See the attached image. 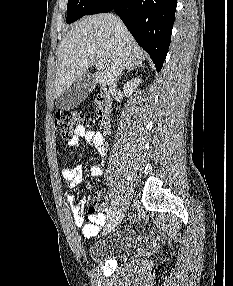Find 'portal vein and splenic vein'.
Listing matches in <instances>:
<instances>
[{
  "label": "portal vein and splenic vein",
  "instance_id": "18ae733b",
  "mask_svg": "<svg viewBox=\"0 0 233 286\" xmlns=\"http://www.w3.org/2000/svg\"><path fill=\"white\" fill-rule=\"evenodd\" d=\"M104 64L105 62L103 60H98L97 61V66L100 68V69H103L104 68Z\"/></svg>",
  "mask_w": 233,
  "mask_h": 286
}]
</instances>
